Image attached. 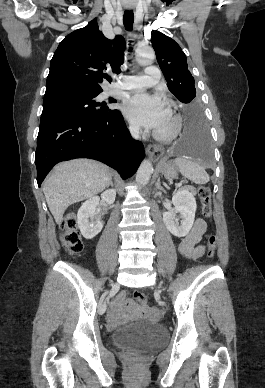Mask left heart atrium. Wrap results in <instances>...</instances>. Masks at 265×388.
Instances as JSON below:
<instances>
[{
    "mask_svg": "<svg viewBox=\"0 0 265 388\" xmlns=\"http://www.w3.org/2000/svg\"><path fill=\"white\" fill-rule=\"evenodd\" d=\"M123 112L132 122L147 127H158L168 117L165 101L158 95L143 92L127 99Z\"/></svg>",
    "mask_w": 265,
    "mask_h": 388,
    "instance_id": "39dd6f15",
    "label": "left heart atrium"
}]
</instances>
